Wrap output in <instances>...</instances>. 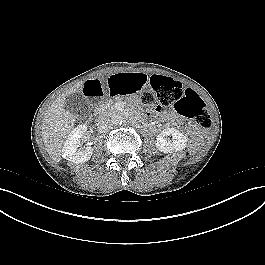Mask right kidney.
I'll use <instances>...</instances> for the list:
<instances>
[{
	"mask_svg": "<svg viewBox=\"0 0 265 265\" xmlns=\"http://www.w3.org/2000/svg\"><path fill=\"white\" fill-rule=\"evenodd\" d=\"M87 131L85 125H78L74 128L64 141L62 157L73 163H85L90 160L94 149L91 146L80 148L81 138Z\"/></svg>",
	"mask_w": 265,
	"mask_h": 265,
	"instance_id": "obj_1",
	"label": "right kidney"
}]
</instances>
